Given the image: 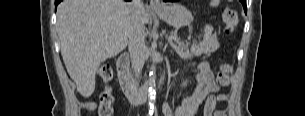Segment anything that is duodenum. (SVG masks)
Returning <instances> with one entry per match:
<instances>
[{
	"label": "duodenum",
	"mask_w": 305,
	"mask_h": 116,
	"mask_svg": "<svg viewBox=\"0 0 305 116\" xmlns=\"http://www.w3.org/2000/svg\"><path fill=\"white\" fill-rule=\"evenodd\" d=\"M116 67L120 88L127 100L133 105L146 102L149 89L154 87V85H161L164 79L163 73H160L154 83L151 82L146 86L137 87L129 74V58L125 54L118 58Z\"/></svg>",
	"instance_id": "duodenum-1"
}]
</instances>
